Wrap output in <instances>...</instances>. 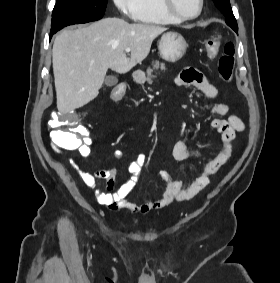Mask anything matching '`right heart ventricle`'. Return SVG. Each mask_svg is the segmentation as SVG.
Listing matches in <instances>:
<instances>
[{"instance_id":"e07e8e85","label":"right heart ventricle","mask_w":280,"mask_h":283,"mask_svg":"<svg viewBox=\"0 0 280 283\" xmlns=\"http://www.w3.org/2000/svg\"><path fill=\"white\" fill-rule=\"evenodd\" d=\"M134 19L149 25H169L181 22L166 12L162 0H138V10Z\"/></svg>"}]
</instances>
